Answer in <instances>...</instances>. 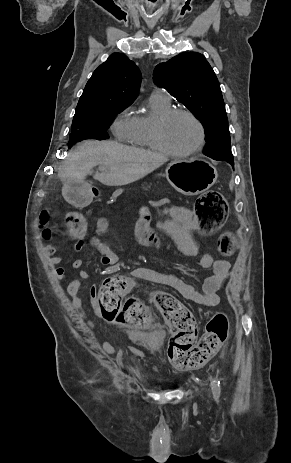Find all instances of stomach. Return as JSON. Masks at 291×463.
Here are the masks:
<instances>
[{
	"label": "stomach",
	"mask_w": 291,
	"mask_h": 463,
	"mask_svg": "<svg viewBox=\"0 0 291 463\" xmlns=\"http://www.w3.org/2000/svg\"><path fill=\"white\" fill-rule=\"evenodd\" d=\"M169 183L184 195H198L211 188L218 177L216 168L200 159H176L166 168ZM63 196L75 206L91 201V194L84 184H65Z\"/></svg>",
	"instance_id": "obj_1"
}]
</instances>
